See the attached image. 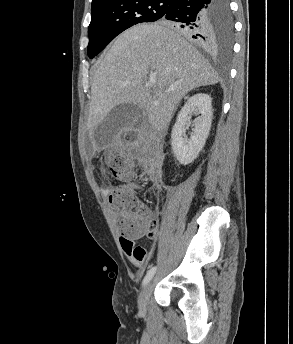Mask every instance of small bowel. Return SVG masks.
Returning a JSON list of instances; mask_svg holds the SVG:
<instances>
[{"instance_id": "c3829d8e", "label": "small bowel", "mask_w": 293, "mask_h": 344, "mask_svg": "<svg viewBox=\"0 0 293 344\" xmlns=\"http://www.w3.org/2000/svg\"><path fill=\"white\" fill-rule=\"evenodd\" d=\"M110 192H111L110 188H106L104 190V193L106 196L109 195ZM113 222L116 226L119 243L124 254L130 259V261L136 267H139V268L144 267L150 258V253L147 252V250L143 248L142 246L136 245V238H129L121 232L115 216H113ZM151 239L152 240L156 239V232H155V235L151 237Z\"/></svg>"}]
</instances>
